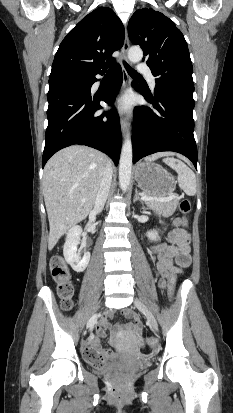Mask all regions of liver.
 <instances>
[{"instance_id":"6515ba94","label":"liver","mask_w":233,"mask_h":413,"mask_svg":"<svg viewBox=\"0 0 233 413\" xmlns=\"http://www.w3.org/2000/svg\"><path fill=\"white\" fill-rule=\"evenodd\" d=\"M168 155L171 153L162 152L146 160ZM106 164L107 158L101 152L80 145L64 148L48 160L43 195L50 226L49 250L92 210Z\"/></svg>"}]
</instances>
